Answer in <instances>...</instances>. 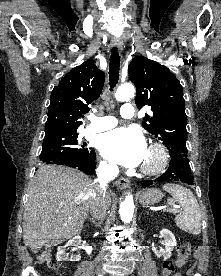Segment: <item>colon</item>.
<instances>
[{
  "instance_id": "1",
  "label": "colon",
  "mask_w": 221,
  "mask_h": 276,
  "mask_svg": "<svg viewBox=\"0 0 221 276\" xmlns=\"http://www.w3.org/2000/svg\"><path fill=\"white\" fill-rule=\"evenodd\" d=\"M191 251L192 246L190 243L182 242L177 248V259L175 261L168 260L163 263L162 276H171L176 267H182L190 256ZM39 260L46 263L52 270H58L60 268V262L52 258L49 251L42 252Z\"/></svg>"
}]
</instances>
